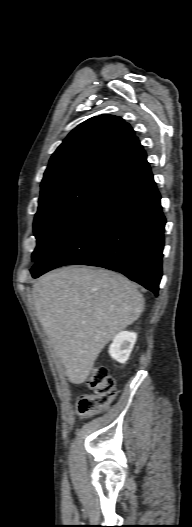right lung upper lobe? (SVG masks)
Listing matches in <instances>:
<instances>
[{
    "label": "right lung upper lobe",
    "mask_w": 192,
    "mask_h": 527,
    "mask_svg": "<svg viewBox=\"0 0 192 527\" xmlns=\"http://www.w3.org/2000/svg\"><path fill=\"white\" fill-rule=\"evenodd\" d=\"M144 152L131 126L103 114L81 123L52 155L41 192L85 177L109 181Z\"/></svg>",
    "instance_id": "cb5924a9"
}]
</instances>
